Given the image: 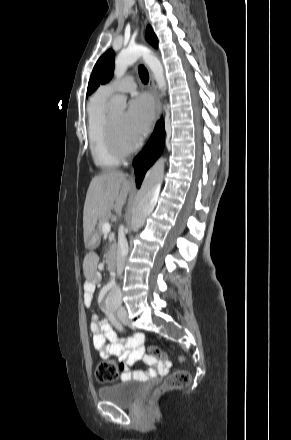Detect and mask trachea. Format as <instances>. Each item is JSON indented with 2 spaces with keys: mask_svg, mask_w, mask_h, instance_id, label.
<instances>
[{
  "mask_svg": "<svg viewBox=\"0 0 291 440\" xmlns=\"http://www.w3.org/2000/svg\"><path fill=\"white\" fill-rule=\"evenodd\" d=\"M138 73H139L141 81L144 84H147L148 81H149V74H148V71L146 70V68L143 65L139 66Z\"/></svg>",
  "mask_w": 291,
  "mask_h": 440,
  "instance_id": "trachea-1",
  "label": "trachea"
}]
</instances>
